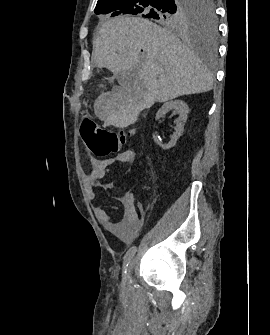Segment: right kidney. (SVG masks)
<instances>
[{
  "mask_svg": "<svg viewBox=\"0 0 270 335\" xmlns=\"http://www.w3.org/2000/svg\"><path fill=\"white\" fill-rule=\"evenodd\" d=\"M170 110H174L175 114H179V116L176 120L175 132L173 136H171L169 144H160L156 136H153L155 144H158V146H162L164 150H168V148H173L178 138L182 136V132H184L185 122L187 120V114L189 112V108L187 104H185V102H182V100H174V102H166V104H164V106H162V108L158 110L156 114V120H159V118H163L164 114H167V112H170Z\"/></svg>",
  "mask_w": 270,
  "mask_h": 335,
  "instance_id": "ca27d5eb",
  "label": "right kidney"
}]
</instances>
